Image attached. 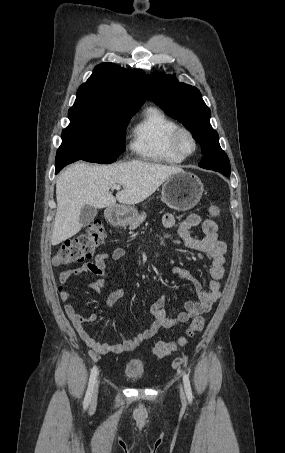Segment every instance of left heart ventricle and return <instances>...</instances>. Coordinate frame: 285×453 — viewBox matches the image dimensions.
Listing matches in <instances>:
<instances>
[{
	"label": "left heart ventricle",
	"instance_id": "obj_1",
	"mask_svg": "<svg viewBox=\"0 0 285 453\" xmlns=\"http://www.w3.org/2000/svg\"><path fill=\"white\" fill-rule=\"evenodd\" d=\"M181 146L186 152H190L193 148L192 141L187 136L181 138Z\"/></svg>",
	"mask_w": 285,
	"mask_h": 453
}]
</instances>
